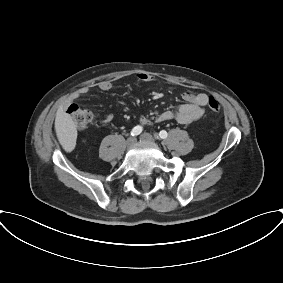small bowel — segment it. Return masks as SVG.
Here are the masks:
<instances>
[{
	"instance_id": "small-bowel-1",
	"label": "small bowel",
	"mask_w": 283,
	"mask_h": 283,
	"mask_svg": "<svg viewBox=\"0 0 283 283\" xmlns=\"http://www.w3.org/2000/svg\"><path fill=\"white\" fill-rule=\"evenodd\" d=\"M137 78L141 82H152L155 77L146 73H140ZM98 88L102 92H108L112 89V84L108 81H103L99 83ZM90 89L83 87L75 94V99L89 95ZM182 98L185 101L184 104L180 105L177 110H166L161 112L156 120L158 122H164L175 119L180 124H190L202 117L204 113V107L208 102V96L205 93H193L184 92ZM114 118L112 113L106 114L103 119H101V124H108ZM140 122L143 125H150L151 121L146 117H141Z\"/></svg>"
}]
</instances>
